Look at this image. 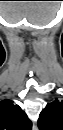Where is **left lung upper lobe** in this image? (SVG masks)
<instances>
[{
	"label": "left lung upper lobe",
	"mask_w": 63,
	"mask_h": 130,
	"mask_svg": "<svg viewBox=\"0 0 63 130\" xmlns=\"http://www.w3.org/2000/svg\"><path fill=\"white\" fill-rule=\"evenodd\" d=\"M38 126L41 130H63V101L47 104L39 115Z\"/></svg>",
	"instance_id": "1"
}]
</instances>
